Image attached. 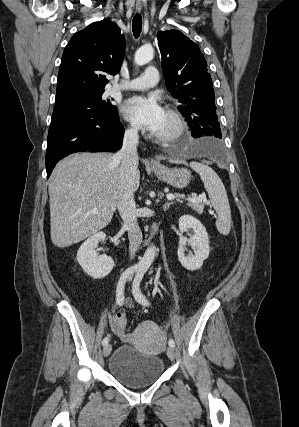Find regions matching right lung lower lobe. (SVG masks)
Here are the masks:
<instances>
[{
    "mask_svg": "<svg viewBox=\"0 0 299 427\" xmlns=\"http://www.w3.org/2000/svg\"><path fill=\"white\" fill-rule=\"evenodd\" d=\"M124 127L119 117L75 113L53 119L48 132L46 171L49 178L56 163L80 152H115L122 146Z\"/></svg>",
    "mask_w": 299,
    "mask_h": 427,
    "instance_id": "right-lung-lower-lobe-1",
    "label": "right lung lower lobe"
}]
</instances>
